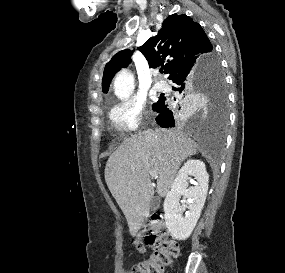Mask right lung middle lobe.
<instances>
[{"label": "right lung middle lobe", "mask_w": 285, "mask_h": 273, "mask_svg": "<svg viewBox=\"0 0 285 273\" xmlns=\"http://www.w3.org/2000/svg\"><path fill=\"white\" fill-rule=\"evenodd\" d=\"M202 94L204 97L216 98L220 104V121L222 126L227 122V93L225 80L221 71L220 62L216 55L209 57L203 79L198 90H190L187 94H182L178 100V105H188L195 99L196 95Z\"/></svg>", "instance_id": "obj_1"}]
</instances>
